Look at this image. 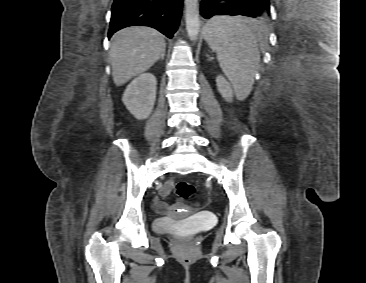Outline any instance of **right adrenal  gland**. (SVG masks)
<instances>
[{
  "instance_id": "right-adrenal-gland-1",
  "label": "right adrenal gland",
  "mask_w": 366,
  "mask_h": 283,
  "mask_svg": "<svg viewBox=\"0 0 366 283\" xmlns=\"http://www.w3.org/2000/svg\"><path fill=\"white\" fill-rule=\"evenodd\" d=\"M164 56H165V52H163V53L161 54L160 59H161V60H164Z\"/></svg>"
}]
</instances>
